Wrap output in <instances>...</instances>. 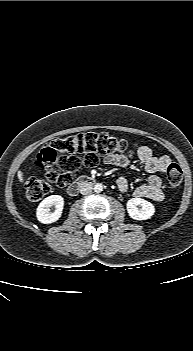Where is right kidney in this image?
<instances>
[{
	"label": "right kidney",
	"mask_w": 193,
	"mask_h": 351,
	"mask_svg": "<svg viewBox=\"0 0 193 351\" xmlns=\"http://www.w3.org/2000/svg\"><path fill=\"white\" fill-rule=\"evenodd\" d=\"M55 207L54 212H50V207ZM64 199L60 195H51L40 202L36 216L38 221L43 224L56 222L62 215Z\"/></svg>",
	"instance_id": "ca27d5eb"
}]
</instances>
